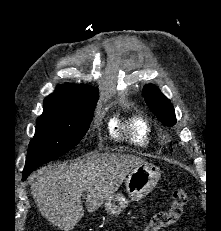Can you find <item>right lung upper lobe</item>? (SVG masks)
Instances as JSON below:
<instances>
[{"label":"right lung upper lobe","mask_w":221,"mask_h":231,"mask_svg":"<svg viewBox=\"0 0 221 231\" xmlns=\"http://www.w3.org/2000/svg\"><path fill=\"white\" fill-rule=\"evenodd\" d=\"M99 98L98 89L88 85H58L56 91L44 99V111L64 112L83 110Z\"/></svg>","instance_id":"1"}]
</instances>
